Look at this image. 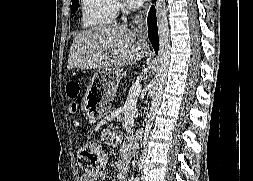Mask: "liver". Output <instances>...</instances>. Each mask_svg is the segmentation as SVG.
Instances as JSON below:
<instances>
[{
	"label": "liver",
	"instance_id": "1",
	"mask_svg": "<svg viewBox=\"0 0 253 181\" xmlns=\"http://www.w3.org/2000/svg\"><path fill=\"white\" fill-rule=\"evenodd\" d=\"M126 25H102L79 33L70 48L67 68L120 70L144 56L146 45L137 42Z\"/></svg>",
	"mask_w": 253,
	"mask_h": 181
}]
</instances>
